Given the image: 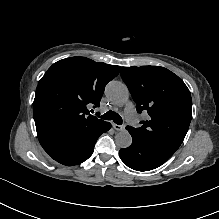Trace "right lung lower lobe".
Segmentation results:
<instances>
[{
	"mask_svg": "<svg viewBox=\"0 0 219 219\" xmlns=\"http://www.w3.org/2000/svg\"><path fill=\"white\" fill-rule=\"evenodd\" d=\"M110 128L111 124L104 122L90 131H74L38 138L50 157L63 165L73 166L84 162L92 155L97 139Z\"/></svg>",
	"mask_w": 219,
	"mask_h": 219,
	"instance_id": "obj_1",
	"label": "right lung lower lobe"
}]
</instances>
